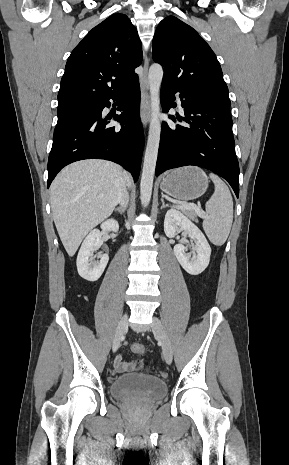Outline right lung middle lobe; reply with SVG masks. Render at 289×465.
Wrapping results in <instances>:
<instances>
[{"label": "right lung middle lobe", "instance_id": "1", "mask_svg": "<svg viewBox=\"0 0 289 465\" xmlns=\"http://www.w3.org/2000/svg\"><path fill=\"white\" fill-rule=\"evenodd\" d=\"M98 108V101L83 100L58 105V121L54 133L79 121L91 118Z\"/></svg>", "mask_w": 289, "mask_h": 465}]
</instances>
